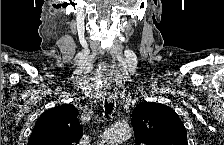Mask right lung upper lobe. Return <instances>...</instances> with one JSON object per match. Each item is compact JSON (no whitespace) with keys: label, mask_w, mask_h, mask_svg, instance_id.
Returning <instances> with one entry per match:
<instances>
[{"label":"right lung upper lobe","mask_w":224,"mask_h":145,"mask_svg":"<svg viewBox=\"0 0 224 145\" xmlns=\"http://www.w3.org/2000/svg\"><path fill=\"white\" fill-rule=\"evenodd\" d=\"M77 109L64 104L49 109L36 121L29 145H74L82 137L83 129L77 119Z\"/></svg>","instance_id":"1"}]
</instances>
